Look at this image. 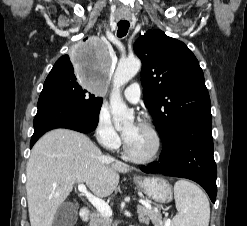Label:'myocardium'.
I'll use <instances>...</instances> for the list:
<instances>
[{
  "label": "myocardium",
  "mask_w": 247,
  "mask_h": 226,
  "mask_svg": "<svg viewBox=\"0 0 247 226\" xmlns=\"http://www.w3.org/2000/svg\"><path fill=\"white\" fill-rule=\"evenodd\" d=\"M140 126L148 129L151 134L153 135L154 139H155V148L154 151L152 152L151 155L147 156V157H138L135 156L134 154H132V152L130 151V149L128 148L127 142L126 140L123 141V152L125 154V156L132 162L134 163H138V164H150L153 163L154 161H156L162 151V146H163V142H162V137L159 133V131L157 130V128L148 121H142L139 124Z\"/></svg>",
  "instance_id": "obj_1"
}]
</instances>
